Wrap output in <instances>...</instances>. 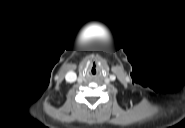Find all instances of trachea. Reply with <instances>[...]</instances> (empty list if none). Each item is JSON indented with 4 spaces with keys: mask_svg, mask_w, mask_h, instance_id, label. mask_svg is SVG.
<instances>
[{
    "mask_svg": "<svg viewBox=\"0 0 185 128\" xmlns=\"http://www.w3.org/2000/svg\"><path fill=\"white\" fill-rule=\"evenodd\" d=\"M90 73H91L92 75H96V74H97V68L95 67V65L91 68Z\"/></svg>",
    "mask_w": 185,
    "mask_h": 128,
    "instance_id": "trachea-1",
    "label": "trachea"
}]
</instances>
